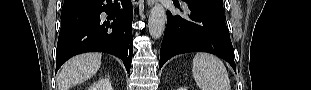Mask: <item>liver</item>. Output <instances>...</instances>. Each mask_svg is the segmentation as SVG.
<instances>
[{
  "mask_svg": "<svg viewBox=\"0 0 311 90\" xmlns=\"http://www.w3.org/2000/svg\"><path fill=\"white\" fill-rule=\"evenodd\" d=\"M99 53H85L68 60L61 68L58 76V90H68L91 78L101 66Z\"/></svg>",
  "mask_w": 311,
  "mask_h": 90,
  "instance_id": "obj_1",
  "label": "liver"
}]
</instances>
